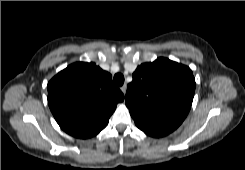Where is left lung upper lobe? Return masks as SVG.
Masks as SVG:
<instances>
[{
    "label": "left lung upper lobe",
    "instance_id": "left-lung-upper-lobe-1",
    "mask_svg": "<svg viewBox=\"0 0 245 170\" xmlns=\"http://www.w3.org/2000/svg\"><path fill=\"white\" fill-rule=\"evenodd\" d=\"M194 92L191 69L161 57L137 67L125 101L137 127L169 134L189 113Z\"/></svg>",
    "mask_w": 245,
    "mask_h": 170
}]
</instances>
